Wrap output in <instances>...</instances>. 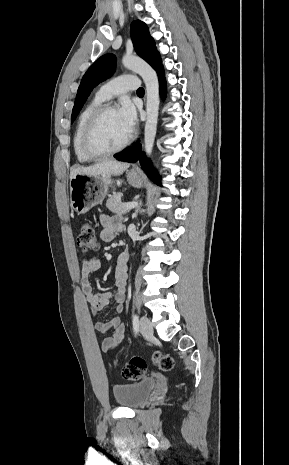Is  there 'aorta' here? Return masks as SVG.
<instances>
[{
    "label": "aorta",
    "mask_w": 289,
    "mask_h": 465,
    "mask_svg": "<svg viewBox=\"0 0 289 465\" xmlns=\"http://www.w3.org/2000/svg\"><path fill=\"white\" fill-rule=\"evenodd\" d=\"M122 64L127 69L138 73L146 86V112L147 120L144 132V148L147 157L151 156L158 121L159 111V81L155 70L144 60L132 55H125L122 58Z\"/></svg>",
    "instance_id": "obj_1"
}]
</instances>
